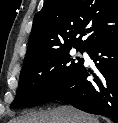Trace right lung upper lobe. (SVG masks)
<instances>
[{"label":"right lung upper lobe","mask_w":118,"mask_h":123,"mask_svg":"<svg viewBox=\"0 0 118 123\" xmlns=\"http://www.w3.org/2000/svg\"><path fill=\"white\" fill-rule=\"evenodd\" d=\"M117 35L118 0H45L34 16L23 64L58 49L87 51Z\"/></svg>","instance_id":"obj_1"}]
</instances>
